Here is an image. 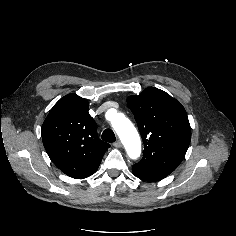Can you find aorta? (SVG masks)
<instances>
[{"mask_svg":"<svg viewBox=\"0 0 236 236\" xmlns=\"http://www.w3.org/2000/svg\"><path fill=\"white\" fill-rule=\"evenodd\" d=\"M112 126L121 139L128 156L131 159H137L141 153V141L132 122L123 114H116L112 119Z\"/></svg>","mask_w":236,"mask_h":236,"instance_id":"obj_1","label":"aorta"}]
</instances>
